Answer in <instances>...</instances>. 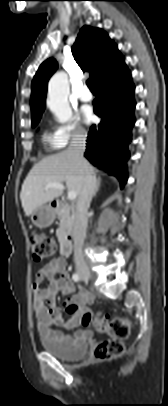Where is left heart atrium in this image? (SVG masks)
Instances as JSON below:
<instances>
[{"label": "left heart atrium", "instance_id": "39dd6f15", "mask_svg": "<svg viewBox=\"0 0 168 406\" xmlns=\"http://www.w3.org/2000/svg\"><path fill=\"white\" fill-rule=\"evenodd\" d=\"M82 117L85 123H91L93 121L94 115L92 112L91 107L89 106H84L81 109Z\"/></svg>", "mask_w": 168, "mask_h": 406}]
</instances>
